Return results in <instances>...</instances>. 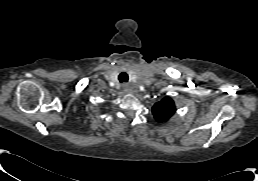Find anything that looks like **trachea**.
I'll use <instances>...</instances> for the list:
<instances>
[{
    "label": "trachea",
    "mask_w": 258,
    "mask_h": 181,
    "mask_svg": "<svg viewBox=\"0 0 258 181\" xmlns=\"http://www.w3.org/2000/svg\"><path fill=\"white\" fill-rule=\"evenodd\" d=\"M119 80L120 82H126L128 80V76L125 72H122L120 75H119Z\"/></svg>",
    "instance_id": "3493384b"
}]
</instances>
